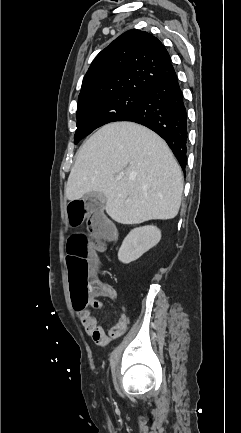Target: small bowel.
Returning a JSON list of instances; mask_svg holds the SVG:
<instances>
[{"instance_id": "1", "label": "small bowel", "mask_w": 241, "mask_h": 433, "mask_svg": "<svg viewBox=\"0 0 241 433\" xmlns=\"http://www.w3.org/2000/svg\"><path fill=\"white\" fill-rule=\"evenodd\" d=\"M101 285L102 291L97 293V296L88 304L90 308L100 309L103 307L104 304L99 299L101 296L108 298L114 303L117 302L118 296L114 287L104 282H101ZM77 314L87 335L99 346H104L111 340L120 337L127 328V318L124 314H121L117 323L111 327L108 332H106L105 327L98 322L89 308H87L86 312H77Z\"/></svg>"}]
</instances>
